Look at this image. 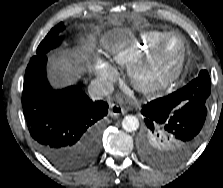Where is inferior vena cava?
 <instances>
[{
    "label": "inferior vena cava",
    "instance_id": "obj_1",
    "mask_svg": "<svg viewBox=\"0 0 223 188\" xmlns=\"http://www.w3.org/2000/svg\"><path fill=\"white\" fill-rule=\"evenodd\" d=\"M113 90V84L102 79L92 80L88 87V93L92 100H100L104 96L111 94Z\"/></svg>",
    "mask_w": 223,
    "mask_h": 188
}]
</instances>
